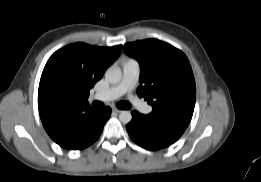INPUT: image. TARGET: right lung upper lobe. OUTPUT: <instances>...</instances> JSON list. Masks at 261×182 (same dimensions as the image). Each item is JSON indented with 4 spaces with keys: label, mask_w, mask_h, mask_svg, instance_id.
I'll return each instance as SVG.
<instances>
[{
    "label": "right lung upper lobe",
    "mask_w": 261,
    "mask_h": 182,
    "mask_svg": "<svg viewBox=\"0 0 261 182\" xmlns=\"http://www.w3.org/2000/svg\"><path fill=\"white\" fill-rule=\"evenodd\" d=\"M121 50V45L74 43L49 58L39 83L38 108L46 132L56 143H63L82 115L94 110L87 101L89 91Z\"/></svg>",
    "instance_id": "cb5924a9"
}]
</instances>
